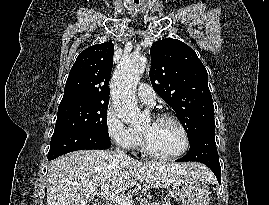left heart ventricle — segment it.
Masks as SVG:
<instances>
[{
    "label": "left heart ventricle",
    "instance_id": "obj_1",
    "mask_svg": "<svg viewBox=\"0 0 269 205\" xmlns=\"http://www.w3.org/2000/svg\"><path fill=\"white\" fill-rule=\"evenodd\" d=\"M149 147L160 154H174L184 145L179 128L168 120L148 121L141 130Z\"/></svg>",
    "mask_w": 269,
    "mask_h": 205
}]
</instances>
